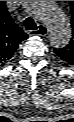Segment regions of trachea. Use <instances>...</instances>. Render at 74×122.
Returning a JSON list of instances; mask_svg holds the SVG:
<instances>
[{
  "mask_svg": "<svg viewBox=\"0 0 74 122\" xmlns=\"http://www.w3.org/2000/svg\"><path fill=\"white\" fill-rule=\"evenodd\" d=\"M24 26H25L26 30H36L37 29V25H36L35 21L30 17L25 19Z\"/></svg>",
  "mask_w": 74,
  "mask_h": 122,
  "instance_id": "trachea-1",
  "label": "trachea"
}]
</instances>
